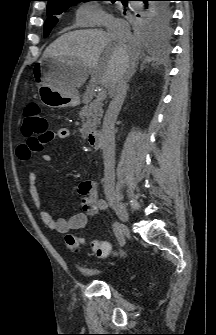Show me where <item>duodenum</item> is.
Instances as JSON below:
<instances>
[{
    "label": "duodenum",
    "mask_w": 216,
    "mask_h": 335,
    "mask_svg": "<svg viewBox=\"0 0 216 335\" xmlns=\"http://www.w3.org/2000/svg\"><path fill=\"white\" fill-rule=\"evenodd\" d=\"M87 140L90 146L94 149L101 148L102 145V135L98 130H91L87 135Z\"/></svg>",
    "instance_id": "1"
}]
</instances>
